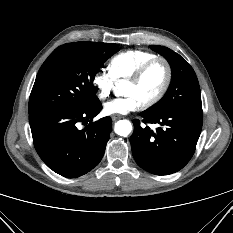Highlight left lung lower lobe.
Wrapping results in <instances>:
<instances>
[{
	"mask_svg": "<svg viewBox=\"0 0 233 233\" xmlns=\"http://www.w3.org/2000/svg\"><path fill=\"white\" fill-rule=\"evenodd\" d=\"M144 123L159 124L156 131L133 120L130 138L136 163L155 175H169L182 169L194 154L199 139L202 109L177 108L159 115L141 113Z\"/></svg>",
	"mask_w": 233,
	"mask_h": 233,
	"instance_id": "obj_1",
	"label": "left lung lower lobe"
}]
</instances>
